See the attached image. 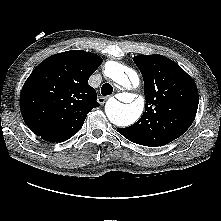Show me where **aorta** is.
I'll return each mask as SVG.
<instances>
[{
  "label": "aorta",
  "instance_id": "762f6f07",
  "mask_svg": "<svg viewBox=\"0 0 221 221\" xmlns=\"http://www.w3.org/2000/svg\"><path fill=\"white\" fill-rule=\"evenodd\" d=\"M105 74L125 89H130L131 83L137 84L139 80L135 71L113 61L106 64ZM127 103L129 104H123L116 99H109L105 105V113L108 119L117 126L131 125L138 120L143 112L144 100L142 98L133 101V98L129 97Z\"/></svg>",
  "mask_w": 221,
  "mask_h": 221
}]
</instances>
